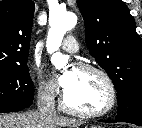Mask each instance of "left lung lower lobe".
Returning a JSON list of instances; mask_svg holds the SVG:
<instances>
[{
  "label": "left lung lower lobe",
  "instance_id": "left-lung-lower-lobe-1",
  "mask_svg": "<svg viewBox=\"0 0 142 128\" xmlns=\"http://www.w3.org/2000/svg\"><path fill=\"white\" fill-rule=\"evenodd\" d=\"M99 121H101V122H114V121H108V120H99ZM116 122H128V123H132V124L142 126V118H125V119L116 118Z\"/></svg>",
  "mask_w": 142,
  "mask_h": 128
}]
</instances>
